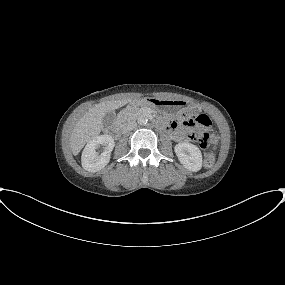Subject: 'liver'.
I'll return each instance as SVG.
<instances>
[{"label":"liver","mask_w":285,"mask_h":285,"mask_svg":"<svg viewBox=\"0 0 285 285\" xmlns=\"http://www.w3.org/2000/svg\"><path fill=\"white\" fill-rule=\"evenodd\" d=\"M130 101V99L106 101L89 109L76 123L70 136L73 154L78 155L86 143L100 134L103 127V117L107 112L116 110Z\"/></svg>","instance_id":"obj_1"}]
</instances>
